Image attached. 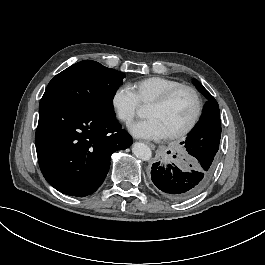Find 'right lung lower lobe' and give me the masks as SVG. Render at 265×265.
Returning a JSON list of instances; mask_svg holds the SVG:
<instances>
[{
	"label": "right lung lower lobe",
	"mask_w": 265,
	"mask_h": 265,
	"mask_svg": "<svg viewBox=\"0 0 265 265\" xmlns=\"http://www.w3.org/2000/svg\"><path fill=\"white\" fill-rule=\"evenodd\" d=\"M35 143L47 182L61 193L84 197L102 184L111 154L128 148L132 137L115 118L44 101L39 105Z\"/></svg>",
	"instance_id": "1"
}]
</instances>
